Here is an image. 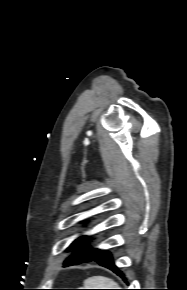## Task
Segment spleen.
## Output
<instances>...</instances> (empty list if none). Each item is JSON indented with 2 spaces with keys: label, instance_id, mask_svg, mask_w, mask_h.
<instances>
[{
  "label": "spleen",
  "instance_id": "1",
  "mask_svg": "<svg viewBox=\"0 0 187 290\" xmlns=\"http://www.w3.org/2000/svg\"><path fill=\"white\" fill-rule=\"evenodd\" d=\"M84 284L86 287H91L88 289H119L118 284L114 280L104 276L91 277Z\"/></svg>",
  "mask_w": 187,
  "mask_h": 290
}]
</instances>
